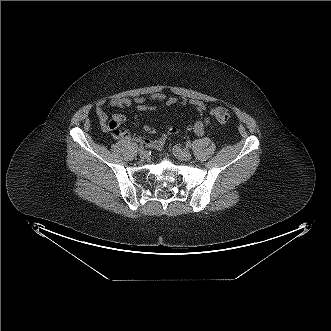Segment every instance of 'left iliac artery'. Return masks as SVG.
<instances>
[{
    "label": "left iliac artery",
    "instance_id": "obj_1",
    "mask_svg": "<svg viewBox=\"0 0 331 331\" xmlns=\"http://www.w3.org/2000/svg\"><path fill=\"white\" fill-rule=\"evenodd\" d=\"M191 146H192V145H191L190 142H187V143H186V147H187V148H191Z\"/></svg>",
    "mask_w": 331,
    "mask_h": 331
}]
</instances>
